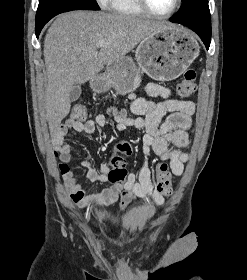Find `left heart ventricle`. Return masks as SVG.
Returning a JSON list of instances; mask_svg holds the SVG:
<instances>
[{"label":"left heart ventricle","instance_id":"1","mask_svg":"<svg viewBox=\"0 0 247 280\" xmlns=\"http://www.w3.org/2000/svg\"><path fill=\"white\" fill-rule=\"evenodd\" d=\"M152 10L157 13H166L170 11L175 3V0H146Z\"/></svg>","mask_w":247,"mask_h":280}]
</instances>
